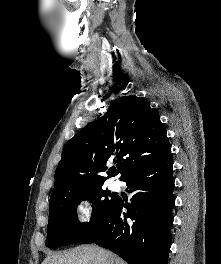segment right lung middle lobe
<instances>
[{
  "mask_svg": "<svg viewBox=\"0 0 221 264\" xmlns=\"http://www.w3.org/2000/svg\"><path fill=\"white\" fill-rule=\"evenodd\" d=\"M86 199L92 202V216L89 223H80L76 208L82 200ZM117 199L102 186L60 199L49 211L46 246L55 248L67 243L82 241L101 222Z\"/></svg>",
  "mask_w": 221,
  "mask_h": 264,
  "instance_id": "dd1d6c3e",
  "label": "right lung middle lobe"
}]
</instances>
